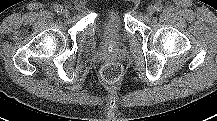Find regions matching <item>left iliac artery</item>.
<instances>
[{
	"mask_svg": "<svg viewBox=\"0 0 217 121\" xmlns=\"http://www.w3.org/2000/svg\"><path fill=\"white\" fill-rule=\"evenodd\" d=\"M155 9H156V11H161L162 10V4L161 3H157L155 5Z\"/></svg>",
	"mask_w": 217,
	"mask_h": 121,
	"instance_id": "1",
	"label": "left iliac artery"
}]
</instances>
